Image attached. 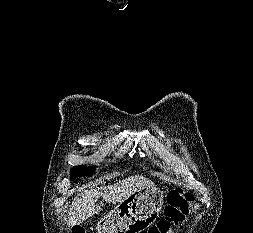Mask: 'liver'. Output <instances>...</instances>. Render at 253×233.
Masks as SVG:
<instances>
[{
	"mask_svg": "<svg viewBox=\"0 0 253 233\" xmlns=\"http://www.w3.org/2000/svg\"><path fill=\"white\" fill-rule=\"evenodd\" d=\"M154 185V182L149 178L136 175L129 176L116 184L85 190L72 201L68 223L71 226L79 225L89 217L99 213L102 209L96 205V202L100 197L108 203H120L138 190Z\"/></svg>",
	"mask_w": 253,
	"mask_h": 233,
	"instance_id": "1",
	"label": "liver"
}]
</instances>
